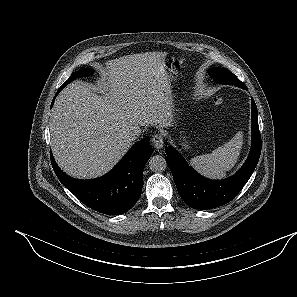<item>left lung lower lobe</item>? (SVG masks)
Returning a JSON list of instances; mask_svg holds the SVG:
<instances>
[{
	"mask_svg": "<svg viewBox=\"0 0 297 297\" xmlns=\"http://www.w3.org/2000/svg\"><path fill=\"white\" fill-rule=\"evenodd\" d=\"M247 90V87L245 88ZM252 147L242 168L224 180H210L199 175L171 146L165 152L177 190L184 202L194 209H212L234 199L251 177L261 153L257 107L251 99Z\"/></svg>",
	"mask_w": 297,
	"mask_h": 297,
	"instance_id": "1",
	"label": "left lung lower lobe"
}]
</instances>
